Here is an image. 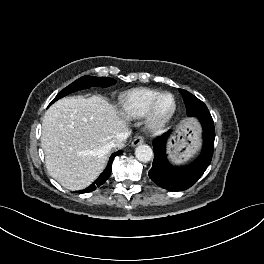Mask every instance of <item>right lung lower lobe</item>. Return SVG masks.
<instances>
[{
	"label": "right lung lower lobe",
	"mask_w": 264,
	"mask_h": 264,
	"mask_svg": "<svg viewBox=\"0 0 264 264\" xmlns=\"http://www.w3.org/2000/svg\"><path fill=\"white\" fill-rule=\"evenodd\" d=\"M121 153L122 151L113 153L109 159L106 169L101 173L98 179L95 180L88 188L78 191V193H88V192L94 191L97 187H100L101 185H103L111 174V167H112L113 159L116 156L120 155Z\"/></svg>",
	"instance_id": "right-lung-lower-lobe-1"
}]
</instances>
